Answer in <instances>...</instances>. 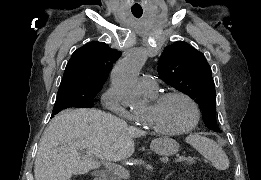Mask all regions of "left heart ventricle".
I'll return each instance as SVG.
<instances>
[{
	"label": "left heart ventricle",
	"mask_w": 261,
	"mask_h": 180,
	"mask_svg": "<svg viewBox=\"0 0 261 180\" xmlns=\"http://www.w3.org/2000/svg\"><path fill=\"white\" fill-rule=\"evenodd\" d=\"M147 105L135 113L136 118L148 124L158 135H169L185 130L191 123L194 111L190 103L182 97L174 96L159 106Z\"/></svg>",
	"instance_id": "b2bd125f"
}]
</instances>
